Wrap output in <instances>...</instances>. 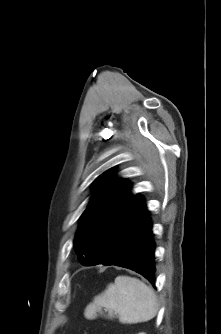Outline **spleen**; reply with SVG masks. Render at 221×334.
<instances>
[{
  "label": "spleen",
  "mask_w": 221,
  "mask_h": 334,
  "mask_svg": "<svg viewBox=\"0 0 221 334\" xmlns=\"http://www.w3.org/2000/svg\"><path fill=\"white\" fill-rule=\"evenodd\" d=\"M102 308L108 310L109 318L116 315L121 323L133 324L153 319L158 312V301L154 290L141 280L121 275L94 297L84 315L95 319Z\"/></svg>",
  "instance_id": "3e777b00"
}]
</instances>
